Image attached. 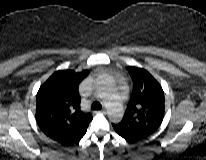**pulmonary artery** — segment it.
Listing matches in <instances>:
<instances>
[{"instance_id":"obj_1","label":"pulmonary artery","mask_w":206,"mask_h":160,"mask_svg":"<svg viewBox=\"0 0 206 160\" xmlns=\"http://www.w3.org/2000/svg\"><path fill=\"white\" fill-rule=\"evenodd\" d=\"M118 96H119V98H123V96H124V92H122V91L119 92V93H118Z\"/></svg>"}]
</instances>
